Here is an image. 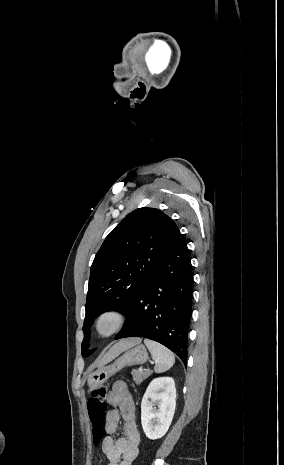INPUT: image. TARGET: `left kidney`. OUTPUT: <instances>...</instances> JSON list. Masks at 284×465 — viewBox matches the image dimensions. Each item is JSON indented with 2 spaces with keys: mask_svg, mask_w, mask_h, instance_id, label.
I'll return each instance as SVG.
<instances>
[{
  "mask_svg": "<svg viewBox=\"0 0 284 465\" xmlns=\"http://www.w3.org/2000/svg\"><path fill=\"white\" fill-rule=\"evenodd\" d=\"M175 407L174 379L171 377L153 379L141 403L142 429L148 439L155 441L166 435L174 417Z\"/></svg>",
  "mask_w": 284,
  "mask_h": 465,
  "instance_id": "5707ae66",
  "label": "left kidney"
}]
</instances>
